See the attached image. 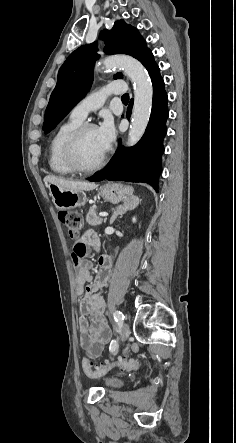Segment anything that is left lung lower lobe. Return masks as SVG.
Here are the masks:
<instances>
[{
  "label": "left lung lower lobe",
  "mask_w": 236,
  "mask_h": 443,
  "mask_svg": "<svg viewBox=\"0 0 236 443\" xmlns=\"http://www.w3.org/2000/svg\"><path fill=\"white\" fill-rule=\"evenodd\" d=\"M143 66L149 72L153 84V103L149 123L141 140L130 148L121 146L102 171L89 178L90 181L145 182L158 191V177L161 173V156L164 152L163 138L166 134L168 118L167 95L160 70L151 51L148 52ZM133 106L130 101L126 117L129 119Z\"/></svg>",
  "instance_id": "0a47b994"
}]
</instances>
